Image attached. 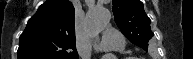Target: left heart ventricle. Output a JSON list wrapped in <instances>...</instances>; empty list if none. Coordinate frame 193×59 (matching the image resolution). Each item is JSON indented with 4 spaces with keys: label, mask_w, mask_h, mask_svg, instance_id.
<instances>
[{
    "label": "left heart ventricle",
    "mask_w": 193,
    "mask_h": 59,
    "mask_svg": "<svg viewBox=\"0 0 193 59\" xmlns=\"http://www.w3.org/2000/svg\"><path fill=\"white\" fill-rule=\"evenodd\" d=\"M103 53H105L107 55L108 59H113V55L115 54V50L110 49V48H106L103 50Z\"/></svg>",
    "instance_id": "1"
}]
</instances>
